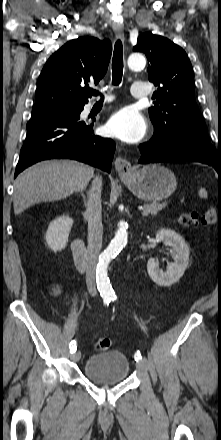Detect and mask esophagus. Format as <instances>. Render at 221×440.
<instances>
[{
  "label": "esophagus",
  "mask_w": 221,
  "mask_h": 440,
  "mask_svg": "<svg viewBox=\"0 0 221 440\" xmlns=\"http://www.w3.org/2000/svg\"><path fill=\"white\" fill-rule=\"evenodd\" d=\"M112 28H113V31L116 34V36L123 40V38H124L123 24L119 23V22H114V23H112ZM114 165H115V169L118 172L120 177H126V176L130 175L132 172L131 163L122 157H117L115 159Z\"/></svg>",
  "instance_id": "esophagus-1"
}]
</instances>
